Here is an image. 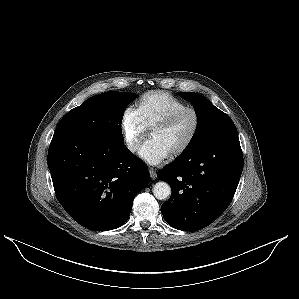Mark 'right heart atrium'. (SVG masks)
Segmentation results:
<instances>
[{"label":"right heart atrium","mask_w":299,"mask_h":299,"mask_svg":"<svg viewBox=\"0 0 299 299\" xmlns=\"http://www.w3.org/2000/svg\"><path fill=\"white\" fill-rule=\"evenodd\" d=\"M120 126L125 146L130 152H136L146 137L147 128L135 109L124 110Z\"/></svg>","instance_id":"obj_1"}]
</instances>
